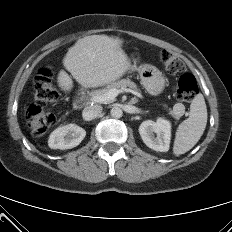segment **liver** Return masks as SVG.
<instances>
[{
  "label": "liver",
  "instance_id": "obj_1",
  "mask_svg": "<svg viewBox=\"0 0 232 232\" xmlns=\"http://www.w3.org/2000/svg\"><path fill=\"white\" fill-rule=\"evenodd\" d=\"M121 45L120 39L107 35L86 36L68 49L63 65L82 87L112 84L130 67ZM57 80L62 90L72 89L73 81L64 70L59 72Z\"/></svg>",
  "mask_w": 232,
  "mask_h": 232
}]
</instances>
